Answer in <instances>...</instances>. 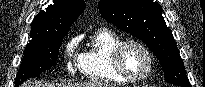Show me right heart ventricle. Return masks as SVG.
Returning a JSON list of instances; mask_svg holds the SVG:
<instances>
[{"instance_id": "e07e8e85", "label": "right heart ventricle", "mask_w": 205, "mask_h": 87, "mask_svg": "<svg viewBox=\"0 0 205 87\" xmlns=\"http://www.w3.org/2000/svg\"><path fill=\"white\" fill-rule=\"evenodd\" d=\"M121 41V37L111 30H97L80 56L82 75L98 84H126L127 81L118 76L111 64V54Z\"/></svg>"}]
</instances>
